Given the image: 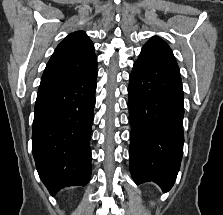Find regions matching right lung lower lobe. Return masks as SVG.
<instances>
[{
  "instance_id": "right-lung-lower-lobe-1",
  "label": "right lung lower lobe",
  "mask_w": 223,
  "mask_h": 215,
  "mask_svg": "<svg viewBox=\"0 0 223 215\" xmlns=\"http://www.w3.org/2000/svg\"><path fill=\"white\" fill-rule=\"evenodd\" d=\"M96 78L97 68L79 80L38 91L32 150L38 174L53 196L90 179Z\"/></svg>"
}]
</instances>
